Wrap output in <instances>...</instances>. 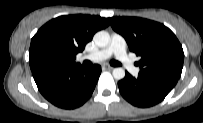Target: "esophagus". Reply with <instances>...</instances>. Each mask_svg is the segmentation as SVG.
Instances as JSON below:
<instances>
[{
	"instance_id": "esophagus-1",
	"label": "esophagus",
	"mask_w": 203,
	"mask_h": 123,
	"mask_svg": "<svg viewBox=\"0 0 203 123\" xmlns=\"http://www.w3.org/2000/svg\"><path fill=\"white\" fill-rule=\"evenodd\" d=\"M102 68L106 69V70H112L113 69V67L109 66V65H103Z\"/></svg>"
}]
</instances>
